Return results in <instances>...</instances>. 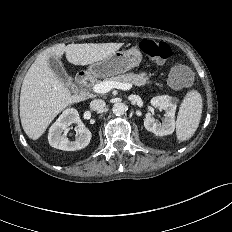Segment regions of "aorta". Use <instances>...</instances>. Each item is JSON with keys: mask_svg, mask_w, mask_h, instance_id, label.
<instances>
[{"mask_svg": "<svg viewBox=\"0 0 232 232\" xmlns=\"http://www.w3.org/2000/svg\"><path fill=\"white\" fill-rule=\"evenodd\" d=\"M112 111L116 116L123 115L126 111V106L121 102L115 103L112 107Z\"/></svg>", "mask_w": 232, "mask_h": 232, "instance_id": "aorta-1", "label": "aorta"}]
</instances>
